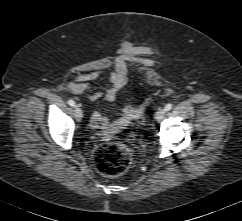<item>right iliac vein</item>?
Wrapping results in <instances>:
<instances>
[{
  "mask_svg": "<svg viewBox=\"0 0 242 221\" xmlns=\"http://www.w3.org/2000/svg\"><path fill=\"white\" fill-rule=\"evenodd\" d=\"M75 117L77 121H80L83 117L82 110L79 108V106L75 107Z\"/></svg>",
  "mask_w": 242,
  "mask_h": 221,
  "instance_id": "63e3f726",
  "label": "right iliac vein"
}]
</instances>
